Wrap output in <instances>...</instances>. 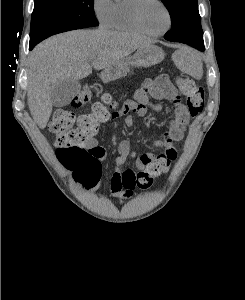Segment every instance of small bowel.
I'll return each mask as SVG.
<instances>
[{
  "label": "small bowel",
  "instance_id": "obj_1",
  "mask_svg": "<svg viewBox=\"0 0 245 300\" xmlns=\"http://www.w3.org/2000/svg\"><path fill=\"white\" fill-rule=\"evenodd\" d=\"M151 98L156 102H152ZM169 100L174 104V115L163 137L152 141L155 152L141 154L136 158L135 169L125 168L130 157H134L128 140L118 144V156L115 159L110 177V194L114 197H129L136 188V177L139 173H147L156 177L169 168L176 159V144L182 140L190 121L189 112L181 100V96L166 75L157 78H147L134 93V100L126 101L118 110L110 115L111 121L124 119L128 126H133V114L145 116L148 111L159 112L161 102ZM88 146L99 152V161L106 157L105 149L92 139ZM162 151V152H160ZM158 152V153H157Z\"/></svg>",
  "mask_w": 245,
  "mask_h": 300
}]
</instances>
